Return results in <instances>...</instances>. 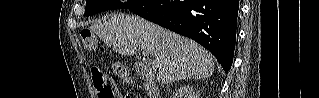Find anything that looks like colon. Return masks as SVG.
<instances>
[{"mask_svg": "<svg viewBox=\"0 0 319 98\" xmlns=\"http://www.w3.org/2000/svg\"><path fill=\"white\" fill-rule=\"evenodd\" d=\"M81 39H82V44L86 50L92 51L97 48L96 39L89 29H83L81 31ZM114 70L116 74H118L119 76L123 77L124 79H128L127 73L121 65L115 64ZM92 79H93L94 87L96 88L98 92L99 98H118L119 97L118 93L116 92L113 80L109 76L103 74L102 72L98 70H94ZM132 97L133 95L131 94H128L126 96V98H132Z\"/></svg>", "mask_w": 319, "mask_h": 98, "instance_id": "1", "label": "colon"}]
</instances>
